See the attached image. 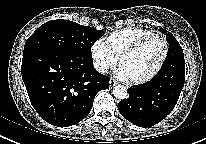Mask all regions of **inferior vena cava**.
<instances>
[{
	"label": "inferior vena cava",
	"instance_id": "1",
	"mask_svg": "<svg viewBox=\"0 0 206 144\" xmlns=\"http://www.w3.org/2000/svg\"><path fill=\"white\" fill-rule=\"evenodd\" d=\"M95 69H96L97 71H99L100 73H104V72L107 71V68H106V66H104V65H98V64H96V65H95Z\"/></svg>",
	"mask_w": 206,
	"mask_h": 144
}]
</instances>
